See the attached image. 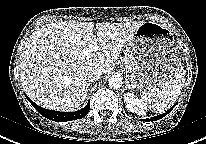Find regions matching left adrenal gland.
<instances>
[{"label":"left adrenal gland","instance_id":"a2214340","mask_svg":"<svg viewBox=\"0 0 206 144\" xmlns=\"http://www.w3.org/2000/svg\"><path fill=\"white\" fill-rule=\"evenodd\" d=\"M126 88H130L129 81L126 80Z\"/></svg>","mask_w":206,"mask_h":144}]
</instances>
